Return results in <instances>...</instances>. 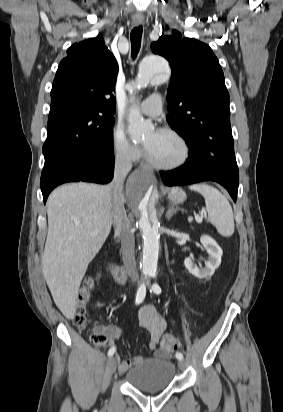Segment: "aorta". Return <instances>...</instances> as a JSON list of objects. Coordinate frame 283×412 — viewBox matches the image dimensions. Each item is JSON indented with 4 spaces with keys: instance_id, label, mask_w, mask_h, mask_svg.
<instances>
[{
    "instance_id": "obj_1",
    "label": "aorta",
    "mask_w": 283,
    "mask_h": 412,
    "mask_svg": "<svg viewBox=\"0 0 283 412\" xmlns=\"http://www.w3.org/2000/svg\"><path fill=\"white\" fill-rule=\"evenodd\" d=\"M168 62L159 56H152L145 59L140 67L138 74L128 84V90L133 93L134 90L146 87L148 84L158 85L165 82L168 78ZM134 98H131L133 101ZM152 124L146 122L137 106L133 105L128 114V133L133 140H139L145 133L150 131ZM154 188L153 178L145 172L135 173L129 181L128 192L134 199L139 200L140 220L139 228L142 232L144 241L142 272L144 275H155L157 271L158 253H159V230L157 226L151 224L147 204Z\"/></svg>"
}]
</instances>
